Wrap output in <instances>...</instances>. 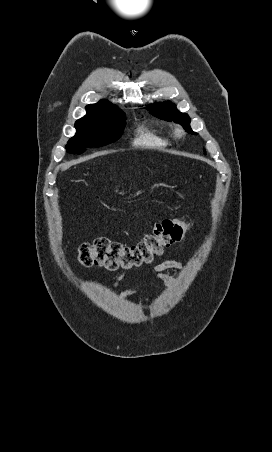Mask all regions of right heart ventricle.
Wrapping results in <instances>:
<instances>
[{
	"mask_svg": "<svg viewBox=\"0 0 272 452\" xmlns=\"http://www.w3.org/2000/svg\"><path fill=\"white\" fill-rule=\"evenodd\" d=\"M133 144L142 148L159 149L168 145V138L160 128L142 126L138 129Z\"/></svg>",
	"mask_w": 272,
	"mask_h": 452,
	"instance_id": "1",
	"label": "right heart ventricle"
}]
</instances>
